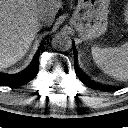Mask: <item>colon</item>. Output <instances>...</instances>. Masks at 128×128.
<instances>
[{
    "label": "colon",
    "mask_w": 128,
    "mask_h": 128,
    "mask_svg": "<svg viewBox=\"0 0 128 128\" xmlns=\"http://www.w3.org/2000/svg\"><path fill=\"white\" fill-rule=\"evenodd\" d=\"M124 21L128 23V0L124 2V11H123Z\"/></svg>",
    "instance_id": "1"
}]
</instances>
